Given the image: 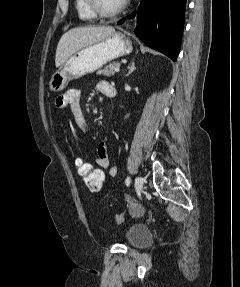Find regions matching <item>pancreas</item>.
I'll return each mask as SVG.
<instances>
[{
    "mask_svg": "<svg viewBox=\"0 0 240 287\" xmlns=\"http://www.w3.org/2000/svg\"><path fill=\"white\" fill-rule=\"evenodd\" d=\"M120 67V62L113 61L106 65L103 70H99L98 74H103L104 76H113L115 74L114 69Z\"/></svg>",
    "mask_w": 240,
    "mask_h": 287,
    "instance_id": "pancreas-1",
    "label": "pancreas"
}]
</instances>
